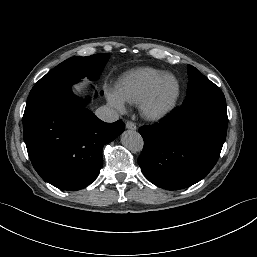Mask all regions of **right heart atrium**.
<instances>
[{"label":"right heart atrium","mask_w":257,"mask_h":257,"mask_svg":"<svg viewBox=\"0 0 257 257\" xmlns=\"http://www.w3.org/2000/svg\"><path fill=\"white\" fill-rule=\"evenodd\" d=\"M107 99L109 104L119 110V111H124L125 110V103L122 100V98L116 93V92H109L107 94Z\"/></svg>","instance_id":"right-heart-atrium-1"}]
</instances>
